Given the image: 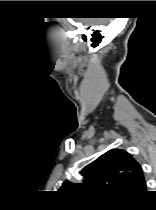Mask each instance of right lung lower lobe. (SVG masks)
I'll list each match as a JSON object with an SVG mask.
<instances>
[{"label":"right lung lower lobe","instance_id":"obj_1","mask_svg":"<svg viewBox=\"0 0 156 210\" xmlns=\"http://www.w3.org/2000/svg\"><path fill=\"white\" fill-rule=\"evenodd\" d=\"M145 194V193H144ZM144 194H142V195H140V196H138V197H136V198H134V199H132L131 201H136V200H139Z\"/></svg>","mask_w":156,"mask_h":210}]
</instances>
